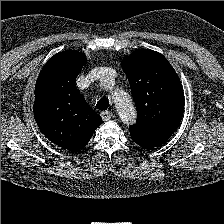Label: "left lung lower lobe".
<instances>
[{"mask_svg":"<svg viewBox=\"0 0 224 224\" xmlns=\"http://www.w3.org/2000/svg\"><path fill=\"white\" fill-rule=\"evenodd\" d=\"M131 138L132 140L142 147L143 149H153L155 147H158L159 145L155 143L152 139H149L144 134L139 133L137 131L130 130Z\"/></svg>","mask_w":224,"mask_h":224,"instance_id":"obj_1","label":"left lung lower lobe"}]
</instances>
